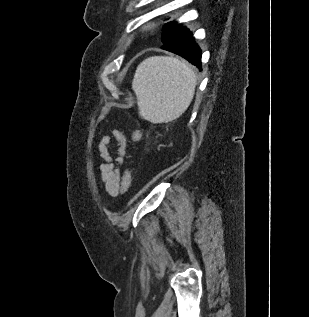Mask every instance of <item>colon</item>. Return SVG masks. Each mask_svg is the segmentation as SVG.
Instances as JSON below:
<instances>
[{
    "label": "colon",
    "instance_id": "1",
    "mask_svg": "<svg viewBox=\"0 0 309 317\" xmlns=\"http://www.w3.org/2000/svg\"><path fill=\"white\" fill-rule=\"evenodd\" d=\"M132 141L133 143H137L141 140L142 138V133L140 130H135L132 133ZM131 182H132V174H131V170L130 169H126L124 174H123V178H122V192L126 193L129 191L130 187H131Z\"/></svg>",
    "mask_w": 309,
    "mask_h": 317
}]
</instances>
